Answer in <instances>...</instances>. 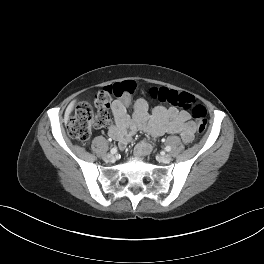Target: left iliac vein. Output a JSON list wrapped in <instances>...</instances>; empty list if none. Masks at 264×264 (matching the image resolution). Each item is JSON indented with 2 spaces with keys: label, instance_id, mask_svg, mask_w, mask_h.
<instances>
[{
  "label": "left iliac vein",
  "instance_id": "4c4485c4",
  "mask_svg": "<svg viewBox=\"0 0 264 264\" xmlns=\"http://www.w3.org/2000/svg\"><path fill=\"white\" fill-rule=\"evenodd\" d=\"M158 160L162 163H169L172 160V156L170 154H164L159 156Z\"/></svg>",
  "mask_w": 264,
  "mask_h": 264
}]
</instances>
